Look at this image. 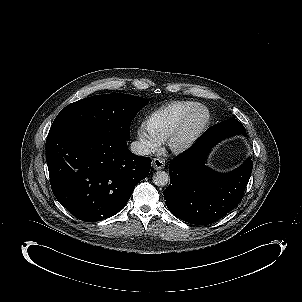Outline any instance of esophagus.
<instances>
[{
    "label": "esophagus",
    "mask_w": 302,
    "mask_h": 302,
    "mask_svg": "<svg viewBox=\"0 0 302 302\" xmlns=\"http://www.w3.org/2000/svg\"><path fill=\"white\" fill-rule=\"evenodd\" d=\"M165 166V161L162 158H154L152 160V168L155 170H161Z\"/></svg>",
    "instance_id": "1"
}]
</instances>
